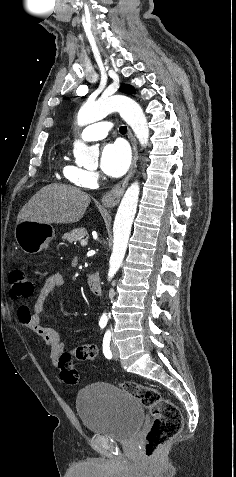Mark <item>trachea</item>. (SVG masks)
I'll use <instances>...</instances> for the list:
<instances>
[{"instance_id": "3493384b", "label": "trachea", "mask_w": 236, "mask_h": 477, "mask_svg": "<svg viewBox=\"0 0 236 477\" xmlns=\"http://www.w3.org/2000/svg\"><path fill=\"white\" fill-rule=\"evenodd\" d=\"M119 131H120V133L125 134L126 131H127V127H126V126H121V127L119 128Z\"/></svg>"}]
</instances>
